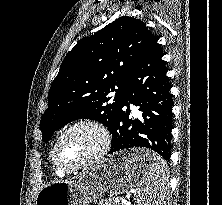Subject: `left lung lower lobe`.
<instances>
[{
    "label": "left lung lower lobe",
    "instance_id": "1",
    "mask_svg": "<svg viewBox=\"0 0 222 205\" xmlns=\"http://www.w3.org/2000/svg\"><path fill=\"white\" fill-rule=\"evenodd\" d=\"M151 34L145 48L130 69L123 86L122 103L113 128L109 153L131 147H147L170 159V140L173 128L172 95L166 76L163 53ZM129 102L139 106L142 120L129 117ZM127 106L126 111L122 110Z\"/></svg>",
    "mask_w": 222,
    "mask_h": 205
}]
</instances>
